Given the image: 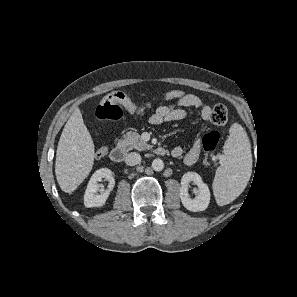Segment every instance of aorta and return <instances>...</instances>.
<instances>
[{
    "label": "aorta",
    "mask_w": 297,
    "mask_h": 297,
    "mask_svg": "<svg viewBox=\"0 0 297 297\" xmlns=\"http://www.w3.org/2000/svg\"><path fill=\"white\" fill-rule=\"evenodd\" d=\"M152 168L155 170V171H162L163 168H164V162L163 160L159 159V158H156L152 161Z\"/></svg>",
    "instance_id": "obj_1"
}]
</instances>
